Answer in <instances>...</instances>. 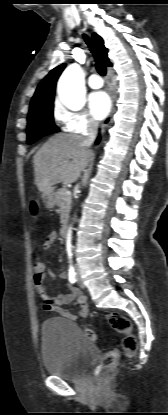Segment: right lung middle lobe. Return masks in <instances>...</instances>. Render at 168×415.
Listing matches in <instances>:
<instances>
[{
	"mask_svg": "<svg viewBox=\"0 0 168 415\" xmlns=\"http://www.w3.org/2000/svg\"><path fill=\"white\" fill-rule=\"evenodd\" d=\"M58 131L59 129L53 121V103L29 112L27 126L28 144H32L41 137Z\"/></svg>",
	"mask_w": 168,
	"mask_h": 415,
	"instance_id": "dd1d6c3e",
	"label": "right lung middle lobe"
}]
</instances>
